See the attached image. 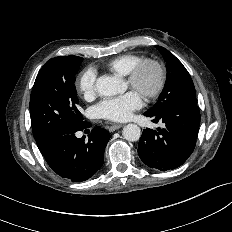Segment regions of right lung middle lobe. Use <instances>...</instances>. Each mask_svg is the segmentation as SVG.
<instances>
[{
  "instance_id": "obj_1",
  "label": "right lung middle lobe",
  "mask_w": 232,
  "mask_h": 232,
  "mask_svg": "<svg viewBox=\"0 0 232 232\" xmlns=\"http://www.w3.org/2000/svg\"><path fill=\"white\" fill-rule=\"evenodd\" d=\"M83 58L70 55L48 60L40 69L30 98L31 126L45 155L63 134L86 125L79 111L75 74Z\"/></svg>"
}]
</instances>
